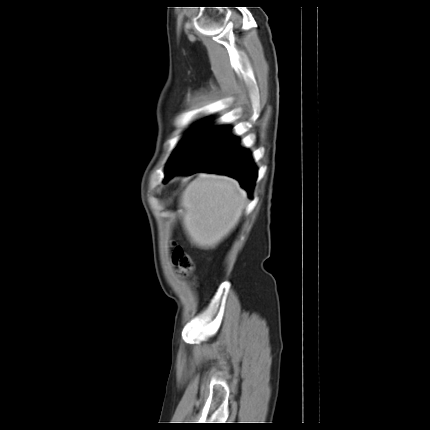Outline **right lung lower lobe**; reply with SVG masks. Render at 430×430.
Masks as SVG:
<instances>
[{
	"instance_id": "obj_1",
	"label": "right lung lower lobe",
	"mask_w": 430,
	"mask_h": 430,
	"mask_svg": "<svg viewBox=\"0 0 430 430\" xmlns=\"http://www.w3.org/2000/svg\"><path fill=\"white\" fill-rule=\"evenodd\" d=\"M199 171L234 177L249 195L252 194L257 177V169L251 154L239 146V140L236 137L229 134L172 175H167L165 181L176 173L193 174Z\"/></svg>"
}]
</instances>
